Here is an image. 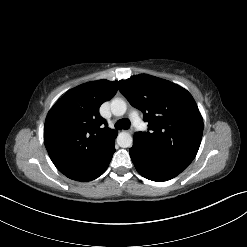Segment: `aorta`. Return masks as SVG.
I'll return each mask as SVG.
<instances>
[{
	"label": "aorta",
	"mask_w": 247,
	"mask_h": 247,
	"mask_svg": "<svg viewBox=\"0 0 247 247\" xmlns=\"http://www.w3.org/2000/svg\"><path fill=\"white\" fill-rule=\"evenodd\" d=\"M127 110L126 102L121 98H115L111 102V112L114 116H123ZM117 143L122 148L132 146L133 138L128 132H120L117 136Z\"/></svg>",
	"instance_id": "1"
}]
</instances>
